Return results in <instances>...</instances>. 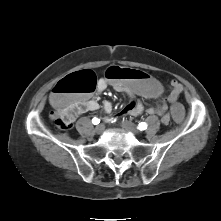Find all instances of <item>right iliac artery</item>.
Instances as JSON below:
<instances>
[{
  "label": "right iliac artery",
  "mask_w": 221,
  "mask_h": 221,
  "mask_svg": "<svg viewBox=\"0 0 221 221\" xmlns=\"http://www.w3.org/2000/svg\"><path fill=\"white\" fill-rule=\"evenodd\" d=\"M92 123H93L94 125H97V124L100 123V119L97 118V117H94V118L92 119Z\"/></svg>",
  "instance_id": "1"
}]
</instances>
